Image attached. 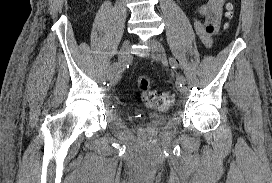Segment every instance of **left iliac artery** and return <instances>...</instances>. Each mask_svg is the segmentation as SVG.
<instances>
[{"mask_svg": "<svg viewBox=\"0 0 272 183\" xmlns=\"http://www.w3.org/2000/svg\"><path fill=\"white\" fill-rule=\"evenodd\" d=\"M170 65L172 68L176 69L178 68V63L174 58H169ZM177 83L180 85V87H184L186 84V79L183 75H178L177 76Z\"/></svg>", "mask_w": 272, "mask_h": 183, "instance_id": "obj_1", "label": "left iliac artery"}]
</instances>
